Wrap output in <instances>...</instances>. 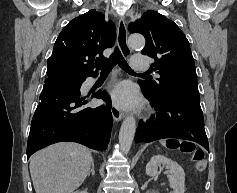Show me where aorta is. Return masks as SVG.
Segmentation results:
<instances>
[{"instance_id":"obj_1","label":"aorta","mask_w":237,"mask_h":193,"mask_svg":"<svg viewBox=\"0 0 237 193\" xmlns=\"http://www.w3.org/2000/svg\"><path fill=\"white\" fill-rule=\"evenodd\" d=\"M129 47L132 49L143 48L145 46V38L139 33L131 34L128 38ZM136 131V121L133 116H128L122 122L119 132V144L123 153L130 151Z\"/></svg>"}]
</instances>
